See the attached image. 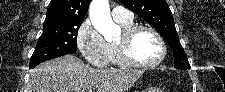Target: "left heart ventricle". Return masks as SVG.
Returning <instances> with one entry per match:
<instances>
[{"label": "left heart ventricle", "mask_w": 225, "mask_h": 92, "mask_svg": "<svg viewBox=\"0 0 225 92\" xmlns=\"http://www.w3.org/2000/svg\"><path fill=\"white\" fill-rule=\"evenodd\" d=\"M120 39L121 37L117 41ZM130 51L132 56L141 63L154 62L161 53L157 39L147 30L139 31L135 35Z\"/></svg>", "instance_id": "b2bd125f"}]
</instances>
